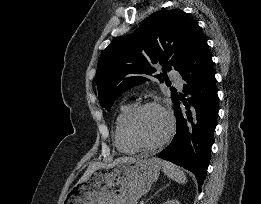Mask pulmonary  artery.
Masks as SVG:
<instances>
[{
    "label": "pulmonary artery",
    "instance_id": "obj_1",
    "mask_svg": "<svg viewBox=\"0 0 261 204\" xmlns=\"http://www.w3.org/2000/svg\"><path fill=\"white\" fill-rule=\"evenodd\" d=\"M170 77L180 88L183 86V79L177 72H170Z\"/></svg>",
    "mask_w": 261,
    "mask_h": 204
}]
</instances>
